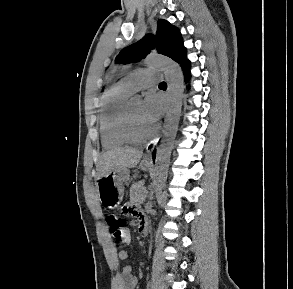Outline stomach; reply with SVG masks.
<instances>
[{
	"mask_svg": "<svg viewBox=\"0 0 293 289\" xmlns=\"http://www.w3.org/2000/svg\"><path fill=\"white\" fill-rule=\"evenodd\" d=\"M140 167L144 170L150 167V164L141 163ZM129 170L125 168H116L105 177H100L97 182V192L99 200L109 209L117 208L124 196L123 184L129 180Z\"/></svg>",
	"mask_w": 293,
	"mask_h": 289,
	"instance_id": "1",
	"label": "stomach"
}]
</instances>
